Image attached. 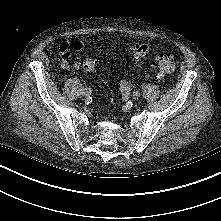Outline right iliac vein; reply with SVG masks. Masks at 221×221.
Returning <instances> with one entry per match:
<instances>
[{"label": "right iliac vein", "mask_w": 221, "mask_h": 221, "mask_svg": "<svg viewBox=\"0 0 221 221\" xmlns=\"http://www.w3.org/2000/svg\"><path fill=\"white\" fill-rule=\"evenodd\" d=\"M81 94H82L84 97H88L87 89H86V88H83V89L81 90Z\"/></svg>", "instance_id": "obj_1"}]
</instances>
